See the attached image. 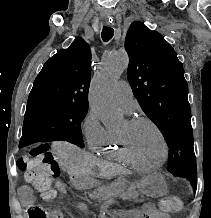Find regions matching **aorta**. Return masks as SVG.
<instances>
[{
    "label": "aorta",
    "mask_w": 211,
    "mask_h": 218,
    "mask_svg": "<svg viewBox=\"0 0 211 218\" xmlns=\"http://www.w3.org/2000/svg\"><path fill=\"white\" fill-rule=\"evenodd\" d=\"M126 53L106 56L99 70L94 74L89 91V103L105 128L118 130L123 125V117L113 100V86L128 67Z\"/></svg>",
    "instance_id": "aorta-1"
}]
</instances>
